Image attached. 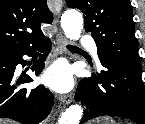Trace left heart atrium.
Segmentation results:
<instances>
[{
    "mask_svg": "<svg viewBox=\"0 0 145 124\" xmlns=\"http://www.w3.org/2000/svg\"><path fill=\"white\" fill-rule=\"evenodd\" d=\"M43 81L57 91H67L72 86V77L66 65L57 64L43 76Z\"/></svg>",
    "mask_w": 145,
    "mask_h": 124,
    "instance_id": "1",
    "label": "left heart atrium"
}]
</instances>
